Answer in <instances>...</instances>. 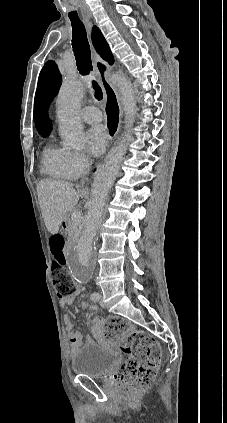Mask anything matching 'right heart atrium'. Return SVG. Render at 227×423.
Segmentation results:
<instances>
[{
    "label": "right heart atrium",
    "instance_id": "1",
    "mask_svg": "<svg viewBox=\"0 0 227 423\" xmlns=\"http://www.w3.org/2000/svg\"><path fill=\"white\" fill-rule=\"evenodd\" d=\"M91 159L83 152L66 151L63 168L66 178L76 179L86 174L91 168Z\"/></svg>",
    "mask_w": 227,
    "mask_h": 423
}]
</instances>
